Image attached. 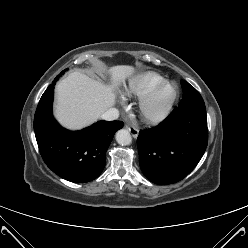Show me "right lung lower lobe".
<instances>
[{
    "label": "right lung lower lobe",
    "mask_w": 248,
    "mask_h": 248,
    "mask_svg": "<svg viewBox=\"0 0 248 248\" xmlns=\"http://www.w3.org/2000/svg\"><path fill=\"white\" fill-rule=\"evenodd\" d=\"M53 84L37 106L34 130L41 156L58 176L85 183L97 178L105 167L106 151L120 121H98L81 131L62 128L52 115Z\"/></svg>",
    "instance_id": "1"
}]
</instances>
